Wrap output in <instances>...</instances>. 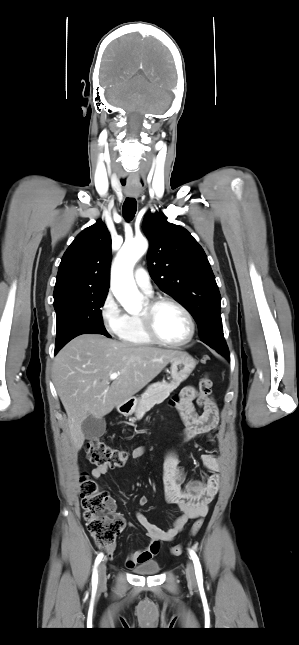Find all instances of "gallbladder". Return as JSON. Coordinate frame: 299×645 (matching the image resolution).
<instances>
[{
	"mask_svg": "<svg viewBox=\"0 0 299 645\" xmlns=\"http://www.w3.org/2000/svg\"><path fill=\"white\" fill-rule=\"evenodd\" d=\"M81 428L87 440L97 439L104 435L106 421L103 418L89 416L83 421Z\"/></svg>",
	"mask_w": 299,
	"mask_h": 645,
	"instance_id": "bac80fb5",
	"label": "gallbladder"
}]
</instances>
